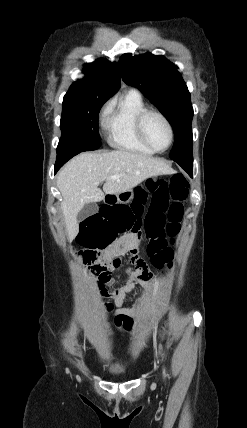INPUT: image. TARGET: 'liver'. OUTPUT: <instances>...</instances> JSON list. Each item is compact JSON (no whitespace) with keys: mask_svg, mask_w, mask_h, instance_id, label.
<instances>
[{"mask_svg":"<svg viewBox=\"0 0 247 428\" xmlns=\"http://www.w3.org/2000/svg\"><path fill=\"white\" fill-rule=\"evenodd\" d=\"M172 173L174 170L164 160L141 153L114 150L79 154L66 164L57 177L69 241L79 231L77 215L85 204L102 201L105 194L129 191L147 178ZM111 176L117 178L111 179ZM103 181L102 191L98 186Z\"/></svg>","mask_w":247,"mask_h":428,"instance_id":"liver-1","label":"liver"}]
</instances>
